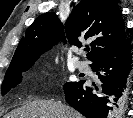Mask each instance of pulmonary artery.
<instances>
[{
    "label": "pulmonary artery",
    "instance_id": "e3ab8cb5",
    "mask_svg": "<svg viewBox=\"0 0 133 118\" xmlns=\"http://www.w3.org/2000/svg\"><path fill=\"white\" fill-rule=\"evenodd\" d=\"M77 67L81 72H90V66L87 61H78Z\"/></svg>",
    "mask_w": 133,
    "mask_h": 118
}]
</instances>
